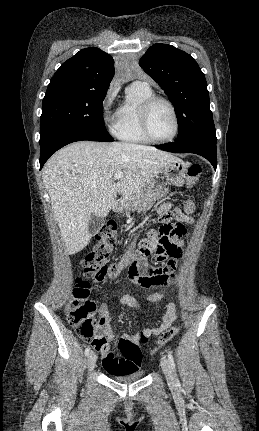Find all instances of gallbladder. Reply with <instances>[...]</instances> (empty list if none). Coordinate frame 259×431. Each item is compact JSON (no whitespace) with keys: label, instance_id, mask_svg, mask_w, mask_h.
<instances>
[{"label":"gallbladder","instance_id":"obj_1","mask_svg":"<svg viewBox=\"0 0 259 431\" xmlns=\"http://www.w3.org/2000/svg\"><path fill=\"white\" fill-rule=\"evenodd\" d=\"M103 225V219L96 215H91L88 223L89 232L91 235H95L101 229Z\"/></svg>","mask_w":259,"mask_h":431}]
</instances>
